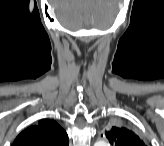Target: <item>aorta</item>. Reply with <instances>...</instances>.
<instances>
[{"instance_id":"1","label":"aorta","mask_w":164,"mask_h":146,"mask_svg":"<svg viewBox=\"0 0 164 146\" xmlns=\"http://www.w3.org/2000/svg\"><path fill=\"white\" fill-rule=\"evenodd\" d=\"M96 145L97 146H108V143L106 142V141H98L97 143H96Z\"/></svg>"}]
</instances>
